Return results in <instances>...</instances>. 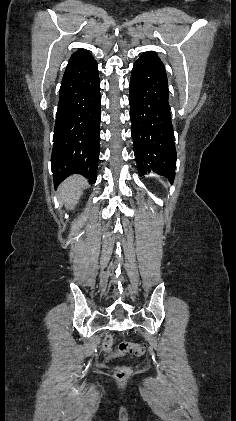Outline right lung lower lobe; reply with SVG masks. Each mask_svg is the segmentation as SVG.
Masks as SVG:
<instances>
[{
  "instance_id": "1",
  "label": "right lung lower lobe",
  "mask_w": 236,
  "mask_h": 421,
  "mask_svg": "<svg viewBox=\"0 0 236 421\" xmlns=\"http://www.w3.org/2000/svg\"><path fill=\"white\" fill-rule=\"evenodd\" d=\"M100 81L91 54L70 60L59 90L51 168L55 187L72 174L96 182L100 139Z\"/></svg>"
}]
</instances>
